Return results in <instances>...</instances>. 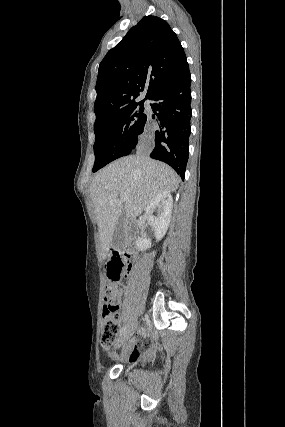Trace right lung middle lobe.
Returning a JSON list of instances; mask_svg holds the SVG:
<instances>
[{
	"label": "right lung middle lobe",
	"instance_id": "right-lung-middle-lobe-1",
	"mask_svg": "<svg viewBox=\"0 0 285 427\" xmlns=\"http://www.w3.org/2000/svg\"><path fill=\"white\" fill-rule=\"evenodd\" d=\"M137 105L138 103L129 106L94 126L93 172L119 157L128 155L140 141L147 115L143 112V102H140L139 107Z\"/></svg>",
	"mask_w": 285,
	"mask_h": 427
}]
</instances>
